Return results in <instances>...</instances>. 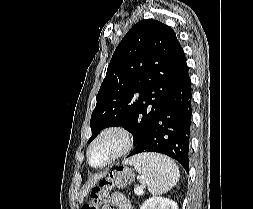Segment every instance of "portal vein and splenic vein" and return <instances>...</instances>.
<instances>
[{"label": "portal vein and splenic vein", "mask_w": 253, "mask_h": 209, "mask_svg": "<svg viewBox=\"0 0 253 209\" xmlns=\"http://www.w3.org/2000/svg\"><path fill=\"white\" fill-rule=\"evenodd\" d=\"M135 193L137 194V195H142L143 193H144V191H143V189L142 188H136L135 189Z\"/></svg>", "instance_id": "1"}]
</instances>
